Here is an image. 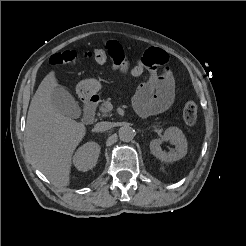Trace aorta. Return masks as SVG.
Here are the masks:
<instances>
[{"label":"aorta","mask_w":246,"mask_h":246,"mask_svg":"<svg viewBox=\"0 0 246 246\" xmlns=\"http://www.w3.org/2000/svg\"><path fill=\"white\" fill-rule=\"evenodd\" d=\"M135 136V130L130 126H123L119 129V138L123 142L131 141Z\"/></svg>","instance_id":"obj_1"}]
</instances>
